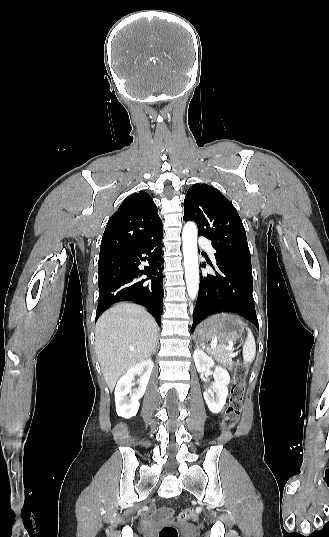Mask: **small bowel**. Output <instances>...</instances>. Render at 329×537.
<instances>
[{
	"label": "small bowel",
	"mask_w": 329,
	"mask_h": 537,
	"mask_svg": "<svg viewBox=\"0 0 329 537\" xmlns=\"http://www.w3.org/2000/svg\"><path fill=\"white\" fill-rule=\"evenodd\" d=\"M153 515L157 518L168 519L171 516V512L169 509L164 508L155 512Z\"/></svg>",
	"instance_id": "small-bowel-1"
}]
</instances>
